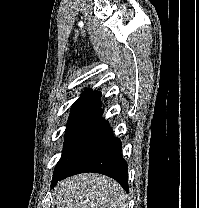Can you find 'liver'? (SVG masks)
<instances>
[{"mask_svg": "<svg viewBox=\"0 0 199 208\" xmlns=\"http://www.w3.org/2000/svg\"><path fill=\"white\" fill-rule=\"evenodd\" d=\"M56 208H126V195L113 179L83 173L58 183L54 188Z\"/></svg>", "mask_w": 199, "mask_h": 208, "instance_id": "obj_1", "label": "liver"}]
</instances>
